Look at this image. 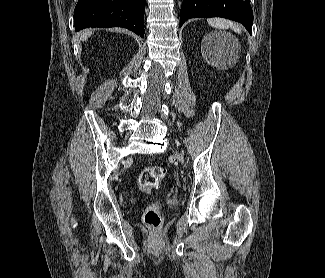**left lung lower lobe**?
Listing matches in <instances>:
<instances>
[{"instance_id":"1","label":"left lung lower lobe","mask_w":325,"mask_h":278,"mask_svg":"<svg viewBox=\"0 0 325 278\" xmlns=\"http://www.w3.org/2000/svg\"><path fill=\"white\" fill-rule=\"evenodd\" d=\"M223 17L240 22L252 34L253 12L249 0H183L180 27L190 18Z\"/></svg>"}]
</instances>
